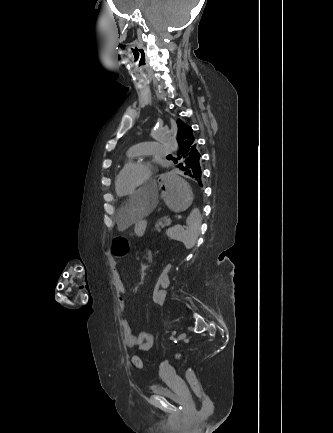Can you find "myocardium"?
Instances as JSON below:
<instances>
[{"label":"myocardium","mask_w":333,"mask_h":433,"mask_svg":"<svg viewBox=\"0 0 333 433\" xmlns=\"http://www.w3.org/2000/svg\"><path fill=\"white\" fill-rule=\"evenodd\" d=\"M135 167H143V168H145L147 170V175H146L145 179L138 185V187L134 191L129 192V193H122L120 191V188H119L120 178L123 176V174L126 171H128V170H130L132 168H135ZM152 170H153V166L151 165V163L149 161H146V160H136V161H132V162L128 163L125 167H123L121 169V171L116 176V180H115V189H116V192L119 195H122V196H131V195L135 194L139 189H141L143 187H146L147 185L150 184Z\"/></svg>","instance_id":"obj_1"}]
</instances>
